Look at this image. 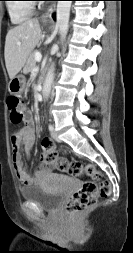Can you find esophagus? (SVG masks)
Here are the masks:
<instances>
[{
	"label": "esophagus",
	"instance_id": "obj_1",
	"mask_svg": "<svg viewBox=\"0 0 133 253\" xmlns=\"http://www.w3.org/2000/svg\"><path fill=\"white\" fill-rule=\"evenodd\" d=\"M56 9V4L53 3L49 6V8L47 9V11L41 16V18L43 20H49L52 18L53 13L55 12Z\"/></svg>",
	"mask_w": 133,
	"mask_h": 253
}]
</instances>
